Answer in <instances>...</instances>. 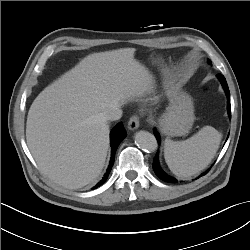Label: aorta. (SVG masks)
<instances>
[{
	"label": "aorta",
	"instance_id": "aorta-1",
	"mask_svg": "<svg viewBox=\"0 0 250 250\" xmlns=\"http://www.w3.org/2000/svg\"><path fill=\"white\" fill-rule=\"evenodd\" d=\"M135 143L140 149L148 152H153L158 148L155 136L147 131L137 132L135 134Z\"/></svg>",
	"mask_w": 250,
	"mask_h": 250
}]
</instances>
